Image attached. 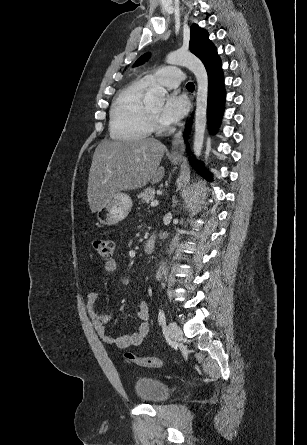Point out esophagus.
I'll return each mask as SVG.
<instances>
[{
	"instance_id": "1",
	"label": "esophagus",
	"mask_w": 307,
	"mask_h": 445,
	"mask_svg": "<svg viewBox=\"0 0 307 445\" xmlns=\"http://www.w3.org/2000/svg\"><path fill=\"white\" fill-rule=\"evenodd\" d=\"M183 129L184 127L180 128V130L174 135L170 151V156L172 158H179V159L183 158L184 155Z\"/></svg>"
}]
</instances>
